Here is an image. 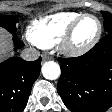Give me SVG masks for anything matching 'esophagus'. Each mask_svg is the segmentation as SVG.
I'll return each instance as SVG.
<instances>
[{
    "label": "esophagus",
    "instance_id": "esophagus-1",
    "mask_svg": "<svg viewBox=\"0 0 112 112\" xmlns=\"http://www.w3.org/2000/svg\"><path fill=\"white\" fill-rule=\"evenodd\" d=\"M42 59H43V61H46V60H50L51 57H50V56H46V55H44V56L42 57Z\"/></svg>",
    "mask_w": 112,
    "mask_h": 112
}]
</instances>
